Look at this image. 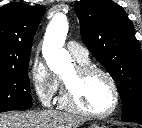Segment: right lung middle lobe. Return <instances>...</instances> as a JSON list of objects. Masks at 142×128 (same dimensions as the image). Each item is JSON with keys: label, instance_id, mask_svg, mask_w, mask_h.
Wrapping results in <instances>:
<instances>
[{"label": "right lung middle lobe", "instance_id": "dd1d6c3e", "mask_svg": "<svg viewBox=\"0 0 142 128\" xmlns=\"http://www.w3.org/2000/svg\"><path fill=\"white\" fill-rule=\"evenodd\" d=\"M28 64L0 69V112L32 107Z\"/></svg>", "mask_w": 142, "mask_h": 128}]
</instances>
